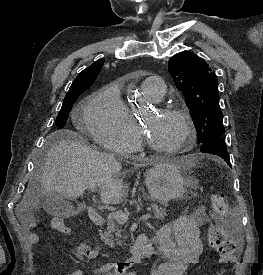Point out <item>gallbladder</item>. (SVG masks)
Returning a JSON list of instances; mask_svg holds the SVG:
<instances>
[{
    "mask_svg": "<svg viewBox=\"0 0 263 275\" xmlns=\"http://www.w3.org/2000/svg\"><path fill=\"white\" fill-rule=\"evenodd\" d=\"M40 206L52 216L59 218H69L74 214V207L56 192L42 195L40 197Z\"/></svg>",
    "mask_w": 263,
    "mask_h": 275,
    "instance_id": "gallbladder-1",
    "label": "gallbladder"
}]
</instances>
